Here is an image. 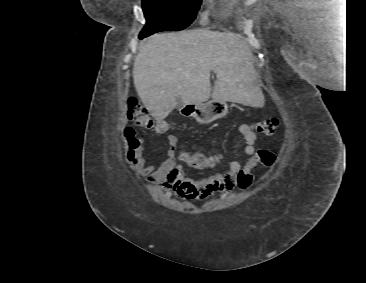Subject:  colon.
I'll return each instance as SVG.
<instances>
[{"label":"colon","mask_w":366,"mask_h":283,"mask_svg":"<svg viewBox=\"0 0 366 283\" xmlns=\"http://www.w3.org/2000/svg\"><path fill=\"white\" fill-rule=\"evenodd\" d=\"M127 116L130 121H132L135 125L143 127V128H158L164 129L163 124H155L154 121L148 114L147 109L139 104L135 100H130L128 102ZM279 121L277 118H267L261 121H257L254 123V130L260 134L266 136L274 135L278 130ZM127 137L129 138V142L131 146H135L137 140L134 137V132L131 128L127 130ZM207 156L203 154H194L188 155L186 160L192 167L201 168L207 164ZM276 162V156L269 150L260 149L258 150L253 158L246 164L243 170L240 171L237 177L238 186L246 190L250 188L253 183V169L256 168L257 165H263L265 167H271Z\"/></svg>","instance_id":"5ec220e1"}]
</instances>
